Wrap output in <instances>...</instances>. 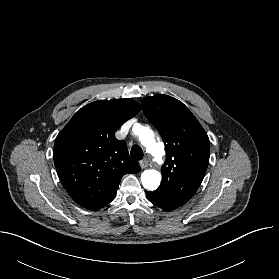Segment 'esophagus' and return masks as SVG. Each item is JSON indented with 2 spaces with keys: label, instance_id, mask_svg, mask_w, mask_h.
Returning <instances> with one entry per match:
<instances>
[{
  "label": "esophagus",
  "instance_id": "34e87169",
  "mask_svg": "<svg viewBox=\"0 0 279 279\" xmlns=\"http://www.w3.org/2000/svg\"><path fill=\"white\" fill-rule=\"evenodd\" d=\"M140 165L142 168H147L149 166V159L148 158H144L141 162Z\"/></svg>",
  "mask_w": 279,
  "mask_h": 279
}]
</instances>
